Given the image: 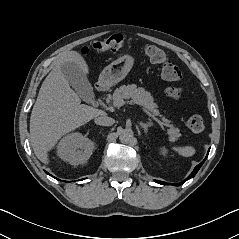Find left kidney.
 <instances>
[{
	"label": "left kidney",
	"instance_id": "1",
	"mask_svg": "<svg viewBox=\"0 0 239 239\" xmlns=\"http://www.w3.org/2000/svg\"><path fill=\"white\" fill-rule=\"evenodd\" d=\"M167 149L165 148V147H160V154H162V155H166L167 154Z\"/></svg>",
	"mask_w": 239,
	"mask_h": 239
}]
</instances>
